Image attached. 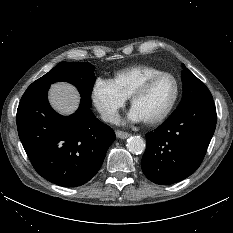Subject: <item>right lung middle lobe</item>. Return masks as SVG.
I'll return each instance as SVG.
<instances>
[{"label": "right lung middle lobe", "mask_w": 233, "mask_h": 233, "mask_svg": "<svg viewBox=\"0 0 233 233\" xmlns=\"http://www.w3.org/2000/svg\"><path fill=\"white\" fill-rule=\"evenodd\" d=\"M93 72L94 66L88 62H60L47 74L36 80L32 85L50 86V84L58 81L72 83L78 88L82 100L91 106V93L93 84L96 80Z\"/></svg>", "instance_id": "right-lung-middle-lobe-1"}]
</instances>
